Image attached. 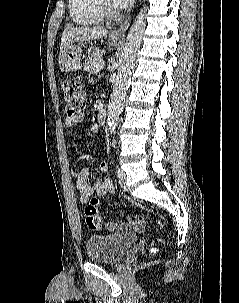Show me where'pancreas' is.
Wrapping results in <instances>:
<instances>
[{
    "label": "pancreas",
    "mask_w": 239,
    "mask_h": 303,
    "mask_svg": "<svg viewBox=\"0 0 239 303\" xmlns=\"http://www.w3.org/2000/svg\"><path fill=\"white\" fill-rule=\"evenodd\" d=\"M103 51L102 50H96L93 52L86 60L84 64V70L88 73L95 74L100 71V68L98 67V64L100 61H103L102 59Z\"/></svg>",
    "instance_id": "pancreas-1"
}]
</instances>
